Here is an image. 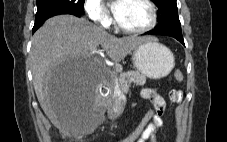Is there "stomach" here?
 <instances>
[{
	"label": "stomach",
	"instance_id": "obj_1",
	"mask_svg": "<svg viewBox=\"0 0 227 142\" xmlns=\"http://www.w3.org/2000/svg\"><path fill=\"white\" fill-rule=\"evenodd\" d=\"M132 61L136 70L150 79L166 77L175 65L171 50L155 40L146 41L136 47L132 54ZM123 106L124 102L119 101L113 111L120 113Z\"/></svg>",
	"mask_w": 227,
	"mask_h": 142
}]
</instances>
